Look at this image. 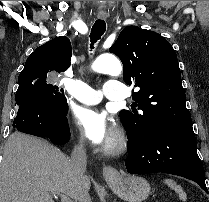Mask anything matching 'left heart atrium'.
<instances>
[{
    "mask_svg": "<svg viewBox=\"0 0 209 202\" xmlns=\"http://www.w3.org/2000/svg\"><path fill=\"white\" fill-rule=\"evenodd\" d=\"M75 121L83 137L94 145L105 144L116 133L110 117L94 107L84 106L77 108Z\"/></svg>",
    "mask_w": 209,
    "mask_h": 202,
    "instance_id": "obj_1",
    "label": "left heart atrium"
}]
</instances>
